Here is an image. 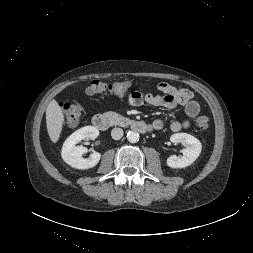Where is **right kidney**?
Segmentation results:
<instances>
[{
	"instance_id": "1",
	"label": "right kidney",
	"mask_w": 253,
	"mask_h": 253,
	"mask_svg": "<svg viewBox=\"0 0 253 253\" xmlns=\"http://www.w3.org/2000/svg\"><path fill=\"white\" fill-rule=\"evenodd\" d=\"M99 135V130L94 126H85L72 133L64 142L62 147V159L71 167L76 169H89L98 164L101 158L99 152H93L89 158H83L82 154L88 149L83 146H76L81 140L86 138L95 139Z\"/></svg>"
}]
</instances>
